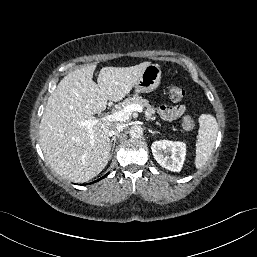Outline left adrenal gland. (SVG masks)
Masks as SVG:
<instances>
[{
    "label": "left adrenal gland",
    "mask_w": 257,
    "mask_h": 257,
    "mask_svg": "<svg viewBox=\"0 0 257 257\" xmlns=\"http://www.w3.org/2000/svg\"><path fill=\"white\" fill-rule=\"evenodd\" d=\"M148 131H149V133H151V134H157V133H159L158 131H152L151 129H148Z\"/></svg>",
    "instance_id": "obj_1"
}]
</instances>
